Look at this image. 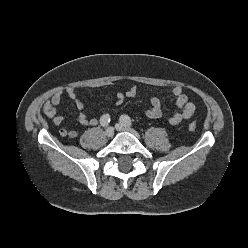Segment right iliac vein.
<instances>
[{
    "label": "right iliac vein",
    "instance_id": "63e3f726",
    "mask_svg": "<svg viewBox=\"0 0 248 248\" xmlns=\"http://www.w3.org/2000/svg\"><path fill=\"white\" fill-rule=\"evenodd\" d=\"M105 134H106V136H107L108 138L113 137V135H114V129H113L112 127L107 128Z\"/></svg>",
    "mask_w": 248,
    "mask_h": 248
}]
</instances>
